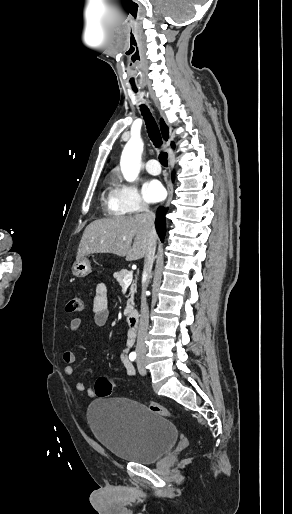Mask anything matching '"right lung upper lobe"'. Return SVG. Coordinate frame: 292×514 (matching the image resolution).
Here are the masks:
<instances>
[{"label": "right lung upper lobe", "mask_w": 292, "mask_h": 514, "mask_svg": "<svg viewBox=\"0 0 292 514\" xmlns=\"http://www.w3.org/2000/svg\"><path fill=\"white\" fill-rule=\"evenodd\" d=\"M160 127H161V132H162V135H163V138L164 140H168V137H169V129L167 127V125L164 123L163 119L160 120ZM171 146L174 148L175 145L174 143L172 142L171 143Z\"/></svg>", "instance_id": "obj_1"}]
</instances>
